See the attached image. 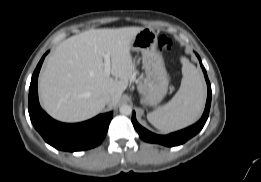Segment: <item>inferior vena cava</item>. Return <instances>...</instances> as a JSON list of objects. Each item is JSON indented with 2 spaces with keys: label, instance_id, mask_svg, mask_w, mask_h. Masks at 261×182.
<instances>
[{
  "label": "inferior vena cava",
  "instance_id": "602c4592",
  "mask_svg": "<svg viewBox=\"0 0 261 182\" xmlns=\"http://www.w3.org/2000/svg\"><path fill=\"white\" fill-rule=\"evenodd\" d=\"M103 100L105 103L108 104L111 101V97L109 95H106V96H104Z\"/></svg>",
  "mask_w": 261,
  "mask_h": 182
}]
</instances>
